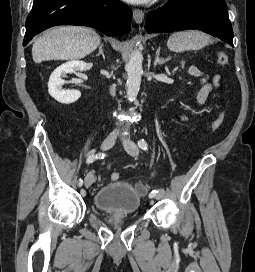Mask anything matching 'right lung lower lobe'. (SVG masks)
Wrapping results in <instances>:
<instances>
[{
    "label": "right lung lower lobe",
    "instance_id": "98d812e1",
    "mask_svg": "<svg viewBox=\"0 0 255 272\" xmlns=\"http://www.w3.org/2000/svg\"><path fill=\"white\" fill-rule=\"evenodd\" d=\"M132 10L117 0H34L26 19L23 46L40 32L57 25H82L108 36L131 30Z\"/></svg>",
    "mask_w": 255,
    "mask_h": 272
}]
</instances>
